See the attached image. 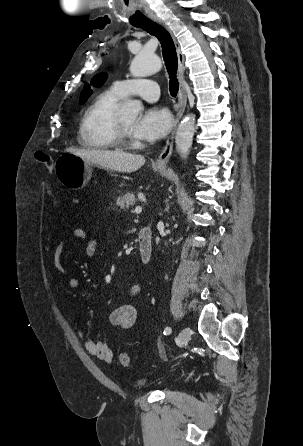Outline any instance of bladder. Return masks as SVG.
Masks as SVG:
<instances>
[{
  "label": "bladder",
  "mask_w": 303,
  "mask_h": 446,
  "mask_svg": "<svg viewBox=\"0 0 303 446\" xmlns=\"http://www.w3.org/2000/svg\"><path fill=\"white\" fill-rule=\"evenodd\" d=\"M147 384H148L147 379H140L137 383V386L139 388H143V387L147 386Z\"/></svg>",
  "instance_id": "31cf9c89"
}]
</instances>
